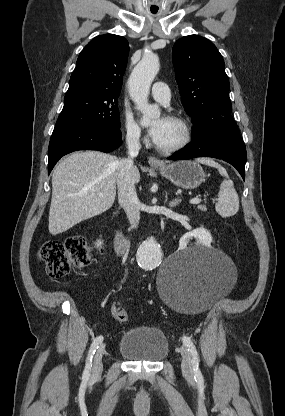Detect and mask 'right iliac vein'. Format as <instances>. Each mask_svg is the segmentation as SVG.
Wrapping results in <instances>:
<instances>
[{"label": "right iliac vein", "instance_id": "1", "mask_svg": "<svg viewBox=\"0 0 285 416\" xmlns=\"http://www.w3.org/2000/svg\"><path fill=\"white\" fill-rule=\"evenodd\" d=\"M105 349H106V344H102L95 353V356L93 359L92 371H91L92 376H98L103 369L102 357L105 353Z\"/></svg>", "mask_w": 285, "mask_h": 416}]
</instances>
